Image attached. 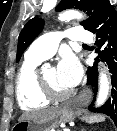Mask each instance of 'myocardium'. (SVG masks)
<instances>
[{
    "instance_id": "f54148a6",
    "label": "myocardium",
    "mask_w": 117,
    "mask_h": 131,
    "mask_svg": "<svg viewBox=\"0 0 117 131\" xmlns=\"http://www.w3.org/2000/svg\"><path fill=\"white\" fill-rule=\"evenodd\" d=\"M38 79H39L41 91L48 100H52V101L66 100L69 97H71L74 93L73 90H69V91H66V92H59V91L55 90L46 81V79L43 77V74L39 75Z\"/></svg>"
}]
</instances>
